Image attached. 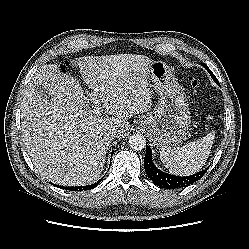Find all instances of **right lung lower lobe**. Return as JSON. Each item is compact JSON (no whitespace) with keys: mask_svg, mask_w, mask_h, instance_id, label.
<instances>
[{"mask_svg":"<svg viewBox=\"0 0 249 249\" xmlns=\"http://www.w3.org/2000/svg\"><path fill=\"white\" fill-rule=\"evenodd\" d=\"M113 154V152H112ZM101 179L97 182V183H94L92 185H87V186H78V187H63V186H58L60 188H65V189H69V190H73V191H83V190H89V189H92L94 187H96L99 183H100Z\"/></svg>","mask_w":249,"mask_h":249,"instance_id":"obj_1","label":"right lung lower lobe"}]
</instances>
